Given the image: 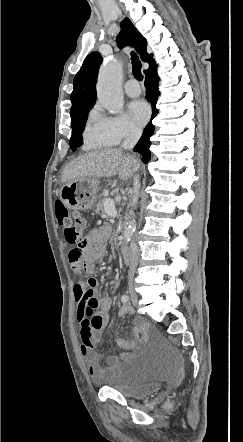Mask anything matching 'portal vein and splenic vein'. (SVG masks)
I'll return each instance as SVG.
<instances>
[{
  "instance_id": "portal-vein-and-splenic-vein-1",
  "label": "portal vein and splenic vein",
  "mask_w": 243,
  "mask_h": 442,
  "mask_svg": "<svg viewBox=\"0 0 243 442\" xmlns=\"http://www.w3.org/2000/svg\"><path fill=\"white\" fill-rule=\"evenodd\" d=\"M104 209L106 214H108L111 217H116L117 216V211L115 208V203L114 201H107L104 204Z\"/></svg>"
}]
</instances>
